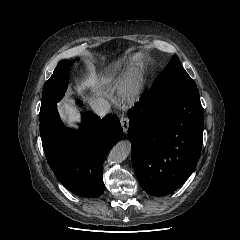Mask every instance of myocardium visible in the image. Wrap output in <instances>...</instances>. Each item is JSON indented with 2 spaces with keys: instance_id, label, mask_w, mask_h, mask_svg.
<instances>
[{
  "instance_id": "f54148a6",
  "label": "myocardium",
  "mask_w": 240,
  "mask_h": 240,
  "mask_svg": "<svg viewBox=\"0 0 240 240\" xmlns=\"http://www.w3.org/2000/svg\"><path fill=\"white\" fill-rule=\"evenodd\" d=\"M142 82L139 79L128 77L123 89L124 98L127 100L134 99L142 90Z\"/></svg>"
}]
</instances>
